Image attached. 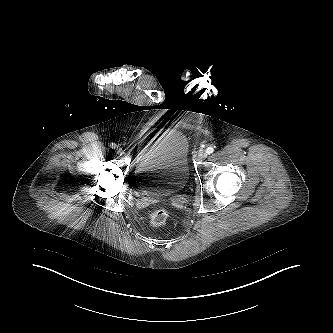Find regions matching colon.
I'll list each match as a JSON object with an SVG mask.
<instances>
[{
    "mask_svg": "<svg viewBox=\"0 0 333 333\" xmlns=\"http://www.w3.org/2000/svg\"><path fill=\"white\" fill-rule=\"evenodd\" d=\"M169 214L165 208H156L148 215L150 225L160 227L166 224Z\"/></svg>",
    "mask_w": 333,
    "mask_h": 333,
    "instance_id": "obj_1",
    "label": "colon"
}]
</instances>
